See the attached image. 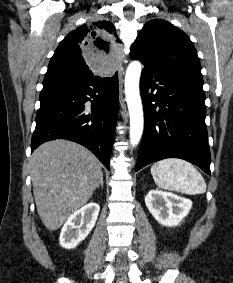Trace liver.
<instances>
[{"instance_id": "1", "label": "liver", "mask_w": 233, "mask_h": 283, "mask_svg": "<svg viewBox=\"0 0 233 283\" xmlns=\"http://www.w3.org/2000/svg\"><path fill=\"white\" fill-rule=\"evenodd\" d=\"M30 168L37 211L51 231L89 201L102 175L94 154L64 139L39 146L30 157Z\"/></svg>"}]
</instances>
